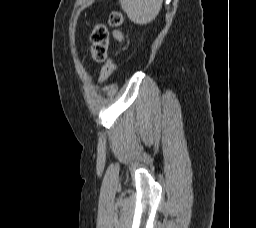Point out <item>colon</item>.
<instances>
[{
	"instance_id": "5ec220e1",
	"label": "colon",
	"mask_w": 256,
	"mask_h": 228,
	"mask_svg": "<svg viewBox=\"0 0 256 228\" xmlns=\"http://www.w3.org/2000/svg\"><path fill=\"white\" fill-rule=\"evenodd\" d=\"M123 14L120 11H113L109 16V25L111 27H119L123 23ZM91 58L93 61L104 65L100 73V82H105L110 75L115 71L116 64L112 58L107 57V50L109 45V33L104 24L98 23L95 25L91 33Z\"/></svg>"
}]
</instances>
